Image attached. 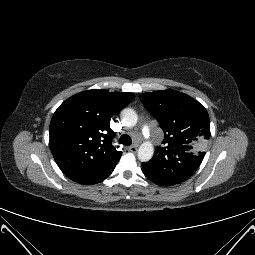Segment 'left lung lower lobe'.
<instances>
[{
  "instance_id": "1",
  "label": "left lung lower lobe",
  "mask_w": 255,
  "mask_h": 255,
  "mask_svg": "<svg viewBox=\"0 0 255 255\" xmlns=\"http://www.w3.org/2000/svg\"><path fill=\"white\" fill-rule=\"evenodd\" d=\"M142 171H143V170H142ZM143 173L145 174V176H146L147 178H149L152 182H154V183L157 184V185H160V186H171L170 184H168V183L165 182V181L155 180V179L149 177L145 172H143Z\"/></svg>"
}]
</instances>
